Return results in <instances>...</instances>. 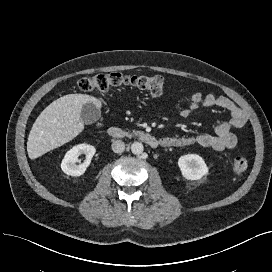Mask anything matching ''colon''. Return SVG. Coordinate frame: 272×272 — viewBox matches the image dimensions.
<instances>
[{
    "mask_svg": "<svg viewBox=\"0 0 272 272\" xmlns=\"http://www.w3.org/2000/svg\"><path fill=\"white\" fill-rule=\"evenodd\" d=\"M166 80L160 75H123L121 73H104L79 80L78 87L83 92L105 93L120 87H134L146 91L152 95H160L166 88ZM249 162L243 155H237L233 159V170L243 173L247 170Z\"/></svg>",
    "mask_w": 272,
    "mask_h": 272,
    "instance_id": "obj_1",
    "label": "colon"
}]
</instances>
